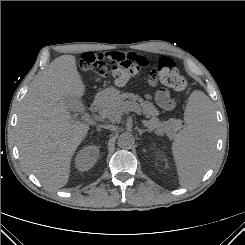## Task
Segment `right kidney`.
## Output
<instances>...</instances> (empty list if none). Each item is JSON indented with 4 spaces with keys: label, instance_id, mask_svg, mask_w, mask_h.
Listing matches in <instances>:
<instances>
[{
    "label": "right kidney",
    "instance_id": "1",
    "mask_svg": "<svg viewBox=\"0 0 245 245\" xmlns=\"http://www.w3.org/2000/svg\"><path fill=\"white\" fill-rule=\"evenodd\" d=\"M99 156L98 146H87L77 152L75 166L80 171H87L96 163Z\"/></svg>",
    "mask_w": 245,
    "mask_h": 245
}]
</instances>
